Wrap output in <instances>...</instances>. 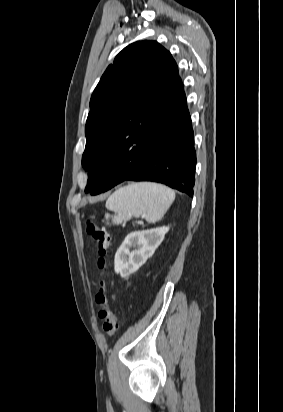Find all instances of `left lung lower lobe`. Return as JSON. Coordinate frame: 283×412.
Listing matches in <instances>:
<instances>
[{
  "instance_id": "1",
  "label": "left lung lower lobe",
  "mask_w": 283,
  "mask_h": 412,
  "mask_svg": "<svg viewBox=\"0 0 283 412\" xmlns=\"http://www.w3.org/2000/svg\"><path fill=\"white\" fill-rule=\"evenodd\" d=\"M132 155H107L94 178L97 194L132 180L159 182L193 195L196 153L184 88L156 124L143 152L137 157Z\"/></svg>"
}]
</instances>
